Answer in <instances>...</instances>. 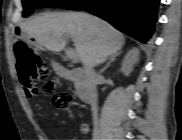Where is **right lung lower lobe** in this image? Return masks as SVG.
<instances>
[{
	"label": "right lung lower lobe",
	"mask_w": 182,
	"mask_h": 140,
	"mask_svg": "<svg viewBox=\"0 0 182 140\" xmlns=\"http://www.w3.org/2000/svg\"><path fill=\"white\" fill-rule=\"evenodd\" d=\"M159 0H97L84 9L146 43L157 21Z\"/></svg>",
	"instance_id": "obj_1"
}]
</instances>
